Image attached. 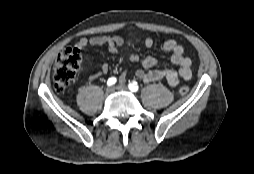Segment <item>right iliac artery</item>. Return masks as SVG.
I'll return each mask as SVG.
<instances>
[{"instance_id":"1","label":"right iliac artery","mask_w":254,"mask_h":174,"mask_svg":"<svg viewBox=\"0 0 254 174\" xmlns=\"http://www.w3.org/2000/svg\"><path fill=\"white\" fill-rule=\"evenodd\" d=\"M116 78L115 77H111V78H109L108 79V81H107V85L108 86H112V85H114L115 83H116Z\"/></svg>"}]
</instances>
